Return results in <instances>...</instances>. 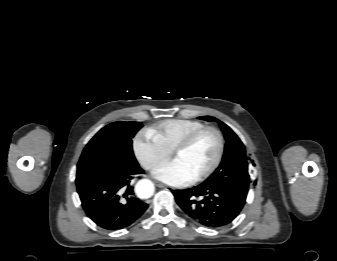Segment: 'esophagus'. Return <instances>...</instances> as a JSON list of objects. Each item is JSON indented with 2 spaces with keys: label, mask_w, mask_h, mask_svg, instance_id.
<instances>
[{
  "label": "esophagus",
  "mask_w": 337,
  "mask_h": 261,
  "mask_svg": "<svg viewBox=\"0 0 337 261\" xmlns=\"http://www.w3.org/2000/svg\"><path fill=\"white\" fill-rule=\"evenodd\" d=\"M156 185H157L159 188H164V189L169 188L168 186H166V185H164V184H162V183H159V182H157Z\"/></svg>",
  "instance_id": "obj_1"
}]
</instances>
